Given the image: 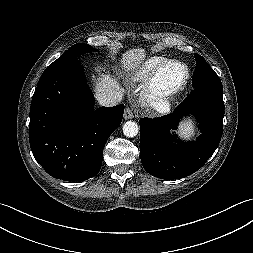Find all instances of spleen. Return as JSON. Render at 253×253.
<instances>
[{"label":"spleen","instance_id":"obj_1","mask_svg":"<svg viewBox=\"0 0 253 253\" xmlns=\"http://www.w3.org/2000/svg\"><path fill=\"white\" fill-rule=\"evenodd\" d=\"M177 133L184 139L191 138L195 133L192 121L191 120L184 121L180 126L179 130L177 131Z\"/></svg>","mask_w":253,"mask_h":253}]
</instances>
